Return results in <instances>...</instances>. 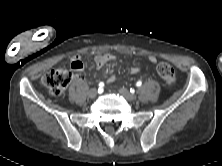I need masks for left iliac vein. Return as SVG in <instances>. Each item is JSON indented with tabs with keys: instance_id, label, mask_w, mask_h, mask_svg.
Wrapping results in <instances>:
<instances>
[{
	"instance_id": "1",
	"label": "left iliac vein",
	"mask_w": 222,
	"mask_h": 166,
	"mask_svg": "<svg viewBox=\"0 0 222 166\" xmlns=\"http://www.w3.org/2000/svg\"><path fill=\"white\" fill-rule=\"evenodd\" d=\"M120 94L123 95L128 101H133L136 99V96L132 94L128 89L126 88H120L119 90Z\"/></svg>"
}]
</instances>
